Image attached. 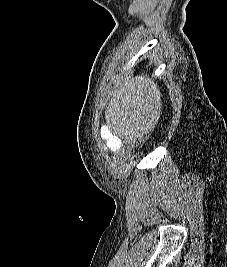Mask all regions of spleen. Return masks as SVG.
Masks as SVG:
<instances>
[{
    "instance_id": "obj_1",
    "label": "spleen",
    "mask_w": 227,
    "mask_h": 267,
    "mask_svg": "<svg viewBox=\"0 0 227 267\" xmlns=\"http://www.w3.org/2000/svg\"><path fill=\"white\" fill-rule=\"evenodd\" d=\"M158 90L153 81L140 76L126 80L117 91V100H110L106 115H158L154 107L160 106ZM135 106H126V105ZM139 105V106H136ZM104 129H113L117 137L140 140L146 129H152L156 116H104Z\"/></svg>"
}]
</instances>
